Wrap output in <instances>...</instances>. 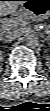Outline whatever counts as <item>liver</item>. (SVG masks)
<instances>
[{
    "instance_id": "liver-1",
    "label": "liver",
    "mask_w": 50,
    "mask_h": 111,
    "mask_svg": "<svg viewBox=\"0 0 50 111\" xmlns=\"http://www.w3.org/2000/svg\"><path fill=\"white\" fill-rule=\"evenodd\" d=\"M24 2L13 0V1H1L0 2V13L1 15H8L14 12L19 5L23 4Z\"/></svg>"
}]
</instances>
